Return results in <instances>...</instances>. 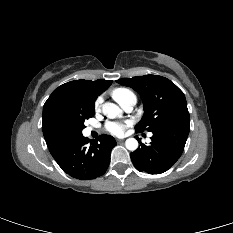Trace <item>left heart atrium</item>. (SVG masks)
<instances>
[{
  "instance_id": "1",
  "label": "left heart atrium",
  "mask_w": 233,
  "mask_h": 233,
  "mask_svg": "<svg viewBox=\"0 0 233 233\" xmlns=\"http://www.w3.org/2000/svg\"><path fill=\"white\" fill-rule=\"evenodd\" d=\"M128 123H119V122H109L106 125V129L114 135L120 136L124 133L127 128Z\"/></svg>"
}]
</instances>
